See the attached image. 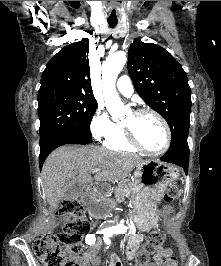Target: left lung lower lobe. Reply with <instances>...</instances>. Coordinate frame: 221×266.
I'll use <instances>...</instances> for the list:
<instances>
[{"mask_svg": "<svg viewBox=\"0 0 221 266\" xmlns=\"http://www.w3.org/2000/svg\"><path fill=\"white\" fill-rule=\"evenodd\" d=\"M161 160L181 166L187 173L189 164L188 143L182 142L171 147L161 158Z\"/></svg>", "mask_w": 221, "mask_h": 266, "instance_id": "obj_1", "label": "left lung lower lobe"}]
</instances>
